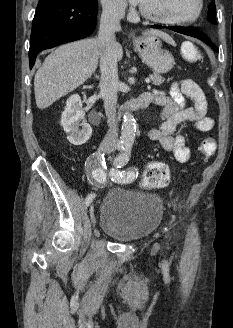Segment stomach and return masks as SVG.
<instances>
[{"label": "stomach", "mask_w": 233, "mask_h": 328, "mask_svg": "<svg viewBox=\"0 0 233 328\" xmlns=\"http://www.w3.org/2000/svg\"><path fill=\"white\" fill-rule=\"evenodd\" d=\"M135 50L142 60L156 73H167L174 66V57L162 49L159 38L155 35H145L133 41Z\"/></svg>", "instance_id": "0dacf381"}]
</instances>
